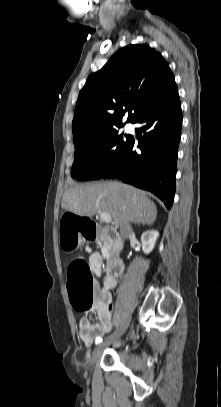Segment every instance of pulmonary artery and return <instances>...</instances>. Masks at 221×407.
<instances>
[{
    "label": "pulmonary artery",
    "mask_w": 221,
    "mask_h": 407,
    "mask_svg": "<svg viewBox=\"0 0 221 407\" xmlns=\"http://www.w3.org/2000/svg\"><path fill=\"white\" fill-rule=\"evenodd\" d=\"M125 129H126L127 131H131V130H132V125H131V124H127V125L125 126Z\"/></svg>",
    "instance_id": "pulmonary-artery-1"
}]
</instances>
